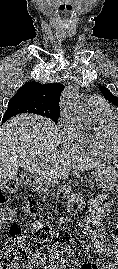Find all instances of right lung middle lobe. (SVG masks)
<instances>
[{
    "label": "right lung middle lobe",
    "mask_w": 118,
    "mask_h": 269,
    "mask_svg": "<svg viewBox=\"0 0 118 269\" xmlns=\"http://www.w3.org/2000/svg\"><path fill=\"white\" fill-rule=\"evenodd\" d=\"M19 113H34L46 116L52 119L55 123L59 118V107L43 106L30 98L23 96H13L8 103V108L3 116V122Z\"/></svg>",
    "instance_id": "dd1d6c3e"
}]
</instances>
